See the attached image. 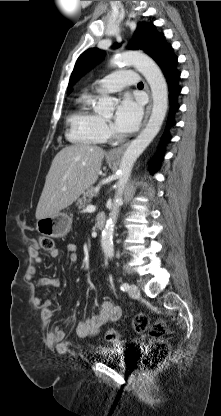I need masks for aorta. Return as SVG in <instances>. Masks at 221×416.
Returning <instances> with one entry per match:
<instances>
[{"instance_id":"1","label":"aorta","mask_w":221,"mask_h":416,"mask_svg":"<svg viewBox=\"0 0 221 416\" xmlns=\"http://www.w3.org/2000/svg\"><path fill=\"white\" fill-rule=\"evenodd\" d=\"M111 66L119 64L133 65L147 80L153 99L152 112L146 127L139 136L133 140L124 152L120 165L116 184V193L109 219L105 225L101 237V247L107 258L114 256L113 233L122 196L129 181L132 168L137 158L143 153L151 141L160 131L168 110V87L166 80L158 65L148 55L139 51H126L116 54L110 61ZM113 102L108 96H104L95 106L99 114H106L112 109Z\"/></svg>"}]
</instances>
